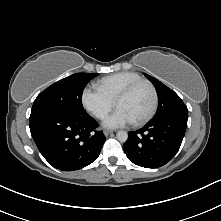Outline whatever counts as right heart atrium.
Returning a JSON list of instances; mask_svg holds the SVG:
<instances>
[{
    "label": "right heart atrium",
    "instance_id": "d8ad5b80",
    "mask_svg": "<svg viewBox=\"0 0 221 221\" xmlns=\"http://www.w3.org/2000/svg\"><path fill=\"white\" fill-rule=\"evenodd\" d=\"M81 101L84 108L97 119H104L115 103L98 88L86 87L82 91Z\"/></svg>",
    "mask_w": 221,
    "mask_h": 221
}]
</instances>
